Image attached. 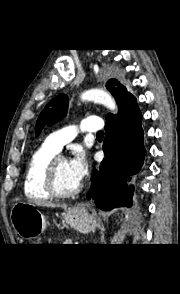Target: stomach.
<instances>
[{"label":"stomach","instance_id":"1","mask_svg":"<svg viewBox=\"0 0 180 294\" xmlns=\"http://www.w3.org/2000/svg\"><path fill=\"white\" fill-rule=\"evenodd\" d=\"M66 222L74 229L87 233L95 229L96 219L85 209L72 207L65 212ZM11 222L22 239H35L46 229V220L33 204L17 202L11 209Z\"/></svg>","mask_w":180,"mask_h":294}]
</instances>
